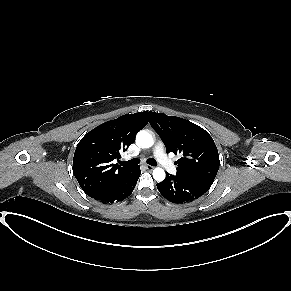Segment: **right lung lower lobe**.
Segmentation results:
<instances>
[{"mask_svg":"<svg viewBox=\"0 0 291 291\" xmlns=\"http://www.w3.org/2000/svg\"><path fill=\"white\" fill-rule=\"evenodd\" d=\"M139 166H135L127 175L107 191L94 197L104 204L119 202L128 197L134 190L140 176Z\"/></svg>","mask_w":291,"mask_h":291,"instance_id":"obj_1","label":"right lung lower lobe"}]
</instances>
